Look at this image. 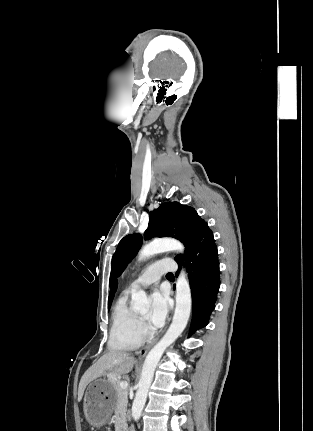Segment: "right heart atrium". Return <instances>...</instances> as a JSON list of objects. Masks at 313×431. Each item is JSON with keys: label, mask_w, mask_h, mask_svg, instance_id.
I'll return each mask as SVG.
<instances>
[{"label": "right heart atrium", "mask_w": 313, "mask_h": 431, "mask_svg": "<svg viewBox=\"0 0 313 431\" xmlns=\"http://www.w3.org/2000/svg\"><path fill=\"white\" fill-rule=\"evenodd\" d=\"M139 330H140L142 335H145L147 333V327H146L145 323L140 321Z\"/></svg>", "instance_id": "obj_1"}]
</instances>
